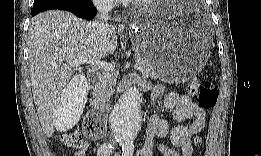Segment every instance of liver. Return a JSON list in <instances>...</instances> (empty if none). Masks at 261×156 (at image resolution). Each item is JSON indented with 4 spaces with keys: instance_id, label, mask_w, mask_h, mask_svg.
Wrapping results in <instances>:
<instances>
[{
    "instance_id": "6515ba94",
    "label": "liver",
    "mask_w": 261,
    "mask_h": 156,
    "mask_svg": "<svg viewBox=\"0 0 261 156\" xmlns=\"http://www.w3.org/2000/svg\"><path fill=\"white\" fill-rule=\"evenodd\" d=\"M27 45L33 99L42 129L49 138L55 128L58 131L72 128L83 111L81 95L78 99L72 94L73 116L66 119L62 114L74 68L69 63L79 59L97 60L114 53L117 34L110 25L106 37L97 39L91 22L67 11L50 10L32 18Z\"/></svg>"
}]
</instances>
